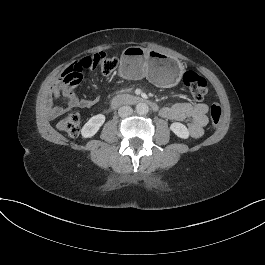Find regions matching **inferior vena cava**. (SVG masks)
Returning <instances> with one entry per match:
<instances>
[{"mask_svg":"<svg viewBox=\"0 0 265 265\" xmlns=\"http://www.w3.org/2000/svg\"><path fill=\"white\" fill-rule=\"evenodd\" d=\"M118 114L120 117H126L133 114V109L130 106H122L119 108Z\"/></svg>","mask_w":265,"mask_h":265,"instance_id":"602c4592","label":"inferior vena cava"}]
</instances>
